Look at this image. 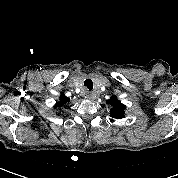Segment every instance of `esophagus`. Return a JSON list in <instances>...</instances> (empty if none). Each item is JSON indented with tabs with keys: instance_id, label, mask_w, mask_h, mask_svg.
Listing matches in <instances>:
<instances>
[{
	"instance_id": "obj_1",
	"label": "esophagus",
	"mask_w": 178,
	"mask_h": 178,
	"mask_svg": "<svg viewBox=\"0 0 178 178\" xmlns=\"http://www.w3.org/2000/svg\"><path fill=\"white\" fill-rule=\"evenodd\" d=\"M88 98H89V99H93V95H92V94H89V95H88Z\"/></svg>"
}]
</instances>
